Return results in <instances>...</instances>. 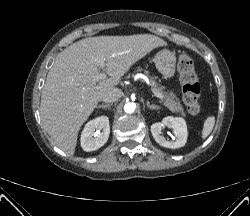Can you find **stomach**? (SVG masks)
<instances>
[{
	"label": "stomach",
	"instance_id": "obj_1",
	"mask_svg": "<svg viewBox=\"0 0 250 216\" xmlns=\"http://www.w3.org/2000/svg\"><path fill=\"white\" fill-rule=\"evenodd\" d=\"M155 66L165 79L174 77L176 71L175 53L169 50L159 51L154 58Z\"/></svg>",
	"mask_w": 250,
	"mask_h": 216
}]
</instances>
